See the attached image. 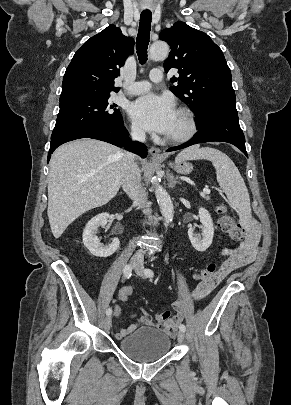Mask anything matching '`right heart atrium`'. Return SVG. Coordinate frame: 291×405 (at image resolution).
I'll return each mask as SVG.
<instances>
[{"instance_id": "1", "label": "right heart atrium", "mask_w": 291, "mask_h": 405, "mask_svg": "<svg viewBox=\"0 0 291 405\" xmlns=\"http://www.w3.org/2000/svg\"><path fill=\"white\" fill-rule=\"evenodd\" d=\"M130 131L133 137L140 139L143 137L144 133L142 129L135 123H133L130 127Z\"/></svg>"}]
</instances>
